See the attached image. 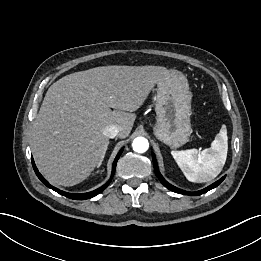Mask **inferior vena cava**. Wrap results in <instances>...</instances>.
<instances>
[{"mask_svg": "<svg viewBox=\"0 0 261 261\" xmlns=\"http://www.w3.org/2000/svg\"><path fill=\"white\" fill-rule=\"evenodd\" d=\"M118 133L119 128L116 125H109L103 131V134L108 138H115Z\"/></svg>", "mask_w": 261, "mask_h": 261, "instance_id": "602c4592", "label": "inferior vena cava"}]
</instances>
